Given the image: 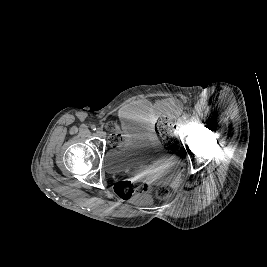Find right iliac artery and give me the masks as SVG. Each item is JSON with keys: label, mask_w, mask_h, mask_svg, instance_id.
<instances>
[{"label": "right iliac artery", "mask_w": 267, "mask_h": 267, "mask_svg": "<svg viewBox=\"0 0 267 267\" xmlns=\"http://www.w3.org/2000/svg\"><path fill=\"white\" fill-rule=\"evenodd\" d=\"M91 129L95 131L96 130V126L95 125H92L91 126Z\"/></svg>", "instance_id": "1"}]
</instances>
